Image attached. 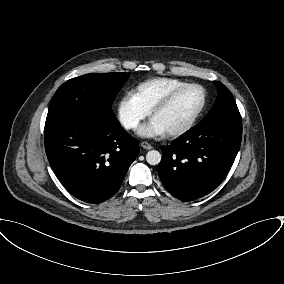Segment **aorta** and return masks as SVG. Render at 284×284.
I'll return each instance as SVG.
<instances>
[{
	"label": "aorta",
	"instance_id": "obj_1",
	"mask_svg": "<svg viewBox=\"0 0 284 284\" xmlns=\"http://www.w3.org/2000/svg\"><path fill=\"white\" fill-rule=\"evenodd\" d=\"M162 155L157 150H150L146 154V161L150 165H158L161 162Z\"/></svg>",
	"mask_w": 284,
	"mask_h": 284
}]
</instances>
